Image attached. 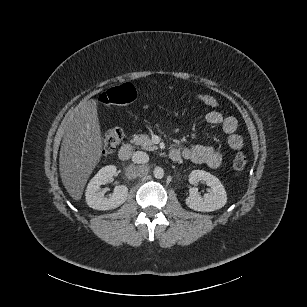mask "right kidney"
I'll list each match as a JSON object with an SVG mask.
<instances>
[{"instance_id": "ca27d5eb", "label": "right kidney", "mask_w": 307, "mask_h": 307, "mask_svg": "<svg viewBox=\"0 0 307 307\" xmlns=\"http://www.w3.org/2000/svg\"><path fill=\"white\" fill-rule=\"evenodd\" d=\"M115 172V166H106L102 168L90 181L86 191V201L90 208L107 211L116 209L127 201V186H116L113 193L109 195H105L99 191L102 184L109 183Z\"/></svg>"}]
</instances>
